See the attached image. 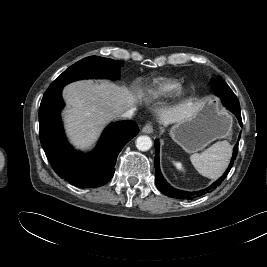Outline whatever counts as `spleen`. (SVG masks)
<instances>
[{
    "mask_svg": "<svg viewBox=\"0 0 267 267\" xmlns=\"http://www.w3.org/2000/svg\"><path fill=\"white\" fill-rule=\"evenodd\" d=\"M231 156L232 145L228 141H218L204 152L192 154L190 160L202 176L217 179L227 169Z\"/></svg>",
    "mask_w": 267,
    "mask_h": 267,
    "instance_id": "obj_1",
    "label": "spleen"
}]
</instances>
